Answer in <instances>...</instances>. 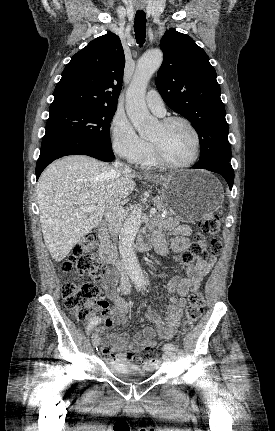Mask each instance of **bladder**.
I'll list each match as a JSON object with an SVG mask.
<instances>
[{"instance_id":"31cf9c89","label":"bladder","mask_w":275,"mask_h":431,"mask_svg":"<svg viewBox=\"0 0 275 431\" xmlns=\"http://www.w3.org/2000/svg\"><path fill=\"white\" fill-rule=\"evenodd\" d=\"M108 368L110 372L116 377L135 376L147 377L150 373L140 369L131 363H111L109 362Z\"/></svg>"}]
</instances>
